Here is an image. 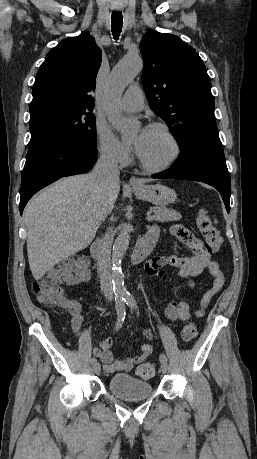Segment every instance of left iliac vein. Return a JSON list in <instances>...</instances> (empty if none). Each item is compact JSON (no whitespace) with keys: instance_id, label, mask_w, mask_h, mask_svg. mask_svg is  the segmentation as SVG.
Segmentation results:
<instances>
[{"instance_id":"obj_1","label":"left iliac vein","mask_w":257,"mask_h":459,"mask_svg":"<svg viewBox=\"0 0 257 459\" xmlns=\"http://www.w3.org/2000/svg\"><path fill=\"white\" fill-rule=\"evenodd\" d=\"M167 369H168L167 362H161V371H162V373L165 374L167 372Z\"/></svg>"}]
</instances>
